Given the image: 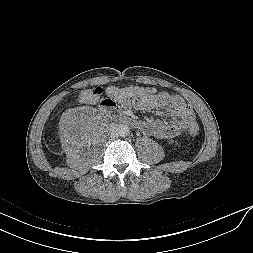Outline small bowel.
Masks as SVG:
<instances>
[{
  "label": "small bowel",
  "mask_w": 253,
  "mask_h": 253,
  "mask_svg": "<svg viewBox=\"0 0 253 253\" xmlns=\"http://www.w3.org/2000/svg\"><path fill=\"white\" fill-rule=\"evenodd\" d=\"M120 103L125 108L133 106L135 109H163L169 113L172 117L169 122L153 120L140 123V128L145 133L161 140L180 135L187 129L188 122L195 119L193 109L181 96L175 94H158L153 90L126 102L110 97H101L99 99V104L107 109L118 110Z\"/></svg>",
  "instance_id": "c3829d8e"
}]
</instances>
